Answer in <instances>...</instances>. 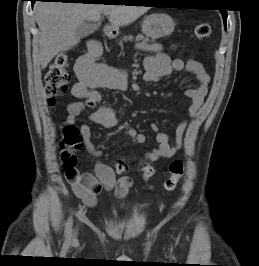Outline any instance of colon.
I'll list each match as a JSON object with an SVG mask.
<instances>
[{
	"instance_id": "5ec220e1",
	"label": "colon",
	"mask_w": 259,
	"mask_h": 266,
	"mask_svg": "<svg viewBox=\"0 0 259 266\" xmlns=\"http://www.w3.org/2000/svg\"><path fill=\"white\" fill-rule=\"evenodd\" d=\"M195 35L198 39L204 40L211 35V26L209 23H199L195 28ZM68 56L61 53L56 56L53 63L45 73V94L48 103L52 106L56 99L64 95L68 91L70 74L67 70ZM63 149L61 159L66 172L75 170L77 163L74 151L79 150L82 146V135L74 125H65L63 127ZM118 174H125L128 171V165L123 160H118L115 164ZM139 171L142 173L145 182H148L154 175L155 170L148 162H141ZM184 173V164L175 160L169 165V177L164 182L166 192H172Z\"/></svg>"
}]
</instances>
